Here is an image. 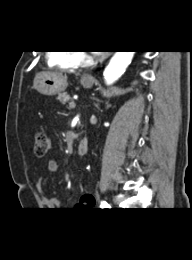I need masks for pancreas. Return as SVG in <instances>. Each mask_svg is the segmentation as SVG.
<instances>
[{
	"mask_svg": "<svg viewBox=\"0 0 192 260\" xmlns=\"http://www.w3.org/2000/svg\"><path fill=\"white\" fill-rule=\"evenodd\" d=\"M70 99V96L67 93H61L57 96V100H59L62 104H65Z\"/></svg>",
	"mask_w": 192,
	"mask_h": 260,
	"instance_id": "pancreas-1",
	"label": "pancreas"
}]
</instances>
